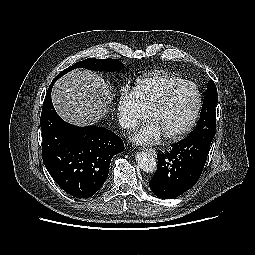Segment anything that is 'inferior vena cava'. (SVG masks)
Masks as SVG:
<instances>
[{
    "instance_id": "obj_1",
    "label": "inferior vena cava",
    "mask_w": 255,
    "mask_h": 255,
    "mask_svg": "<svg viewBox=\"0 0 255 255\" xmlns=\"http://www.w3.org/2000/svg\"><path fill=\"white\" fill-rule=\"evenodd\" d=\"M122 126H124V127H130V126H132V123L131 122H123L122 123Z\"/></svg>"
}]
</instances>
